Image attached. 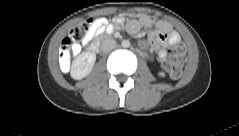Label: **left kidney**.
I'll return each instance as SVG.
<instances>
[{
  "label": "left kidney",
  "instance_id": "1",
  "mask_svg": "<svg viewBox=\"0 0 239 136\" xmlns=\"http://www.w3.org/2000/svg\"><path fill=\"white\" fill-rule=\"evenodd\" d=\"M158 75L160 76V77H165L166 76V74L164 73V72H158Z\"/></svg>",
  "mask_w": 239,
  "mask_h": 136
}]
</instances>
